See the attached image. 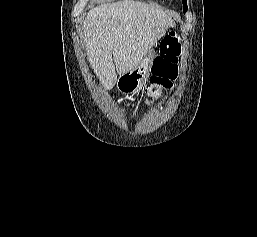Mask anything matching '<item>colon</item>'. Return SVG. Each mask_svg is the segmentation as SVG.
I'll list each match as a JSON object with an SVG mask.
<instances>
[{
  "label": "colon",
  "instance_id": "obj_1",
  "mask_svg": "<svg viewBox=\"0 0 257 237\" xmlns=\"http://www.w3.org/2000/svg\"><path fill=\"white\" fill-rule=\"evenodd\" d=\"M182 52L181 42L174 33L167 34L160 43L159 55L156 57L147 87L150 97L160 95L171 89L178 73V61Z\"/></svg>",
  "mask_w": 257,
  "mask_h": 237
}]
</instances>
